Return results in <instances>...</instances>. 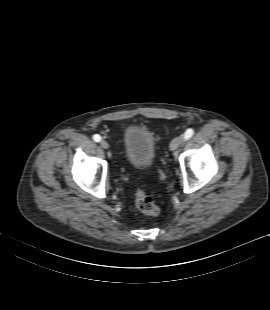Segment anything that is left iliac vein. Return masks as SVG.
Wrapping results in <instances>:
<instances>
[{
    "mask_svg": "<svg viewBox=\"0 0 270 310\" xmlns=\"http://www.w3.org/2000/svg\"><path fill=\"white\" fill-rule=\"evenodd\" d=\"M184 141V137L183 136H178L176 138H174L171 143H170V150L174 151L176 150Z\"/></svg>",
    "mask_w": 270,
    "mask_h": 310,
    "instance_id": "obj_1",
    "label": "left iliac vein"
}]
</instances>
